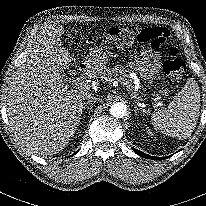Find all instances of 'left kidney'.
<instances>
[{
	"label": "left kidney",
	"mask_w": 206,
	"mask_h": 206,
	"mask_svg": "<svg viewBox=\"0 0 206 206\" xmlns=\"http://www.w3.org/2000/svg\"><path fill=\"white\" fill-rule=\"evenodd\" d=\"M147 130V134L151 137V136H153V133H152V131L150 130V129H146Z\"/></svg>",
	"instance_id": "5707ae66"
}]
</instances>
